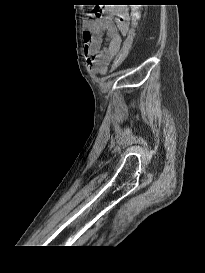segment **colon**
Masks as SVG:
<instances>
[{
	"label": "colon",
	"mask_w": 205,
	"mask_h": 273,
	"mask_svg": "<svg viewBox=\"0 0 205 273\" xmlns=\"http://www.w3.org/2000/svg\"><path fill=\"white\" fill-rule=\"evenodd\" d=\"M133 38H134V27L131 29L127 39L124 42V45H123L120 53L118 54V56L116 57V59L113 63V66H112L113 71L117 70L119 68V66L123 63L125 58L127 57L128 53L131 49Z\"/></svg>",
	"instance_id": "colon-1"
}]
</instances>
